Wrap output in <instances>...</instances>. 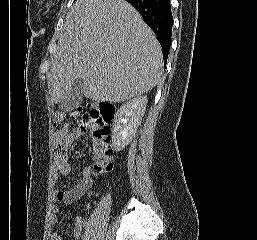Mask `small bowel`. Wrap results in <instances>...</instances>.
Instances as JSON below:
<instances>
[{
  "label": "small bowel",
  "instance_id": "c3829d8e",
  "mask_svg": "<svg viewBox=\"0 0 257 240\" xmlns=\"http://www.w3.org/2000/svg\"><path fill=\"white\" fill-rule=\"evenodd\" d=\"M85 128L82 125L74 129L63 127L54 134L55 142V175L69 176L72 173V166L68 159V150L75 139L80 137ZM93 185L92 168L87 166L83 169L81 176L77 183L68 190L56 189L54 192V199L56 202L64 204H73L80 200L83 195L89 191ZM59 207L53 204L50 209V223L56 224L58 221ZM85 223L81 218H77L74 226V237L79 239L84 231ZM49 240H64L59 231H53L49 235Z\"/></svg>",
  "mask_w": 257,
  "mask_h": 240
}]
</instances>
